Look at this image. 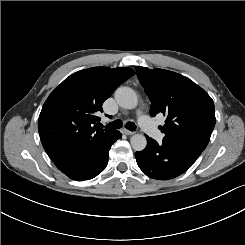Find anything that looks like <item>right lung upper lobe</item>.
Instances as JSON below:
<instances>
[{
    "mask_svg": "<svg viewBox=\"0 0 245 245\" xmlns=\"http://www.w3.org/2000/svg\"><path fill=\"white\" fill-rule=\"evenodd\" d=\"M134 74L127 67H94L70 75L53 90L39 115L38 131L54 162L71 148L113 131L99 128L97 114L114 90Z\"/></svg>",
    "mask_w": 245,
    "mask_h": 245,
    "instance_id": "right-lung-upper-lobe-1",
    "label": "right lung upper lobe"
}]
</instances>
